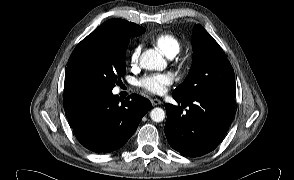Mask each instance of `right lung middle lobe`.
Wrapping results in <instances>:
<instances>
[{"instance_id":"obj_1","label":"right lung middle lobe","mask_w":294,"mask_h":180,"mask_svg":"<svg viewBox=\"0 0 294 180\" xmlns=\"http://www.w3.org/2000/svg\"><path fill=\"white\" fill-rule=\"evenodd\" d=\"M129 36L86 37L72 52L66 69L64 95L86 91H112L125 75Z\"/></svg>"}]
</instances>
